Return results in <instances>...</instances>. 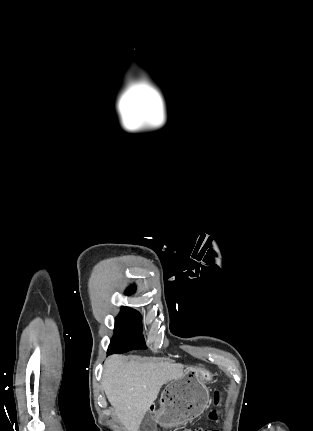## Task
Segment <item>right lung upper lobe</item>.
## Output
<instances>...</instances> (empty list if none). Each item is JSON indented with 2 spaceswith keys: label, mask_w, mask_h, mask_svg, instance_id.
Here are the masks:
<instances>
[{
  "label": "right lung upper lobe",
  "mask_w": 313,
  "mask_h": 431,
  "mask_svg": "<svg viewBox=\"0 0 313 431\" xmlns=\"http://www.w3.org/2000/svg\"><path fill=\"white\" fill-rule=\"evenodd\" d=\"M134 290H135L134 287H129L126 292H127V294H131L134 292Z\"/></svg>",
  "instance_id": "cb5924a9"
}]
</instances>
